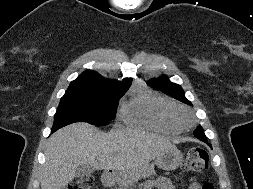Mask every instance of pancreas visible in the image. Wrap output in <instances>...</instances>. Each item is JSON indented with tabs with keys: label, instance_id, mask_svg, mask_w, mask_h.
<instances>
[{
	"label": "pancreas",
	"instance_id": "1",
	"mask_svg": "<svg viewBox=\"0 0 253 189\" xmlns=\"http://www.w3.org/2000/svg\"><path fill=\"white\" fill-rule=\"evenodd\" d=\"M154 173L153 165L123 169L117 174L116 182L120 189H126L138 179L150 177Z\"/></svg>",
	"mask_w": 253,
	"mask_h": 189
}]
</instances>
